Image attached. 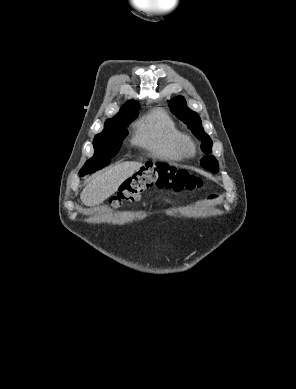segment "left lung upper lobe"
<instances>
[{
    "mask_svg": "<svg viewBox=\"0 0 296 389\" xmlns=\"http://www.w3.org/2000/svg\"><path fill=\"white\" fill-rule=\"evenodd\" d=\"M168 103L171 112L185 124H187L192 133L202 141V151L206 154H210L212 152V140L208 134L205 133L198 114L186 106V101L182 96L173 98L172 100L168 101ZM201 165L208 171L213 173L218 172V163L213 156L203 157Z\"/></svg>",
    "mask_w": 296,
    "mask_h": 389,
    "instance_id": "1",
    "label": "left lung upper lobe"
}]
</instances>
